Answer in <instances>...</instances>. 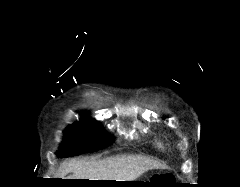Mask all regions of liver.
<instances>
[{
	"label": "liver",
	"mask_w": 240,
	"mask_h": 187,
	"mask_svg": "<svg viewBox=\"0 0 240 187\" xmlns=\"http://www.w3.org/2000/svg\"><path fill=\"white\" fill-rule=\"evenodd\" d=\"M163 167L159 162L141 155H118L100 160L71 159L61 164L59 178L134 181L151 169Z\"/></svg>",
	"instance_id": "liver-1"
}]
</instances>
